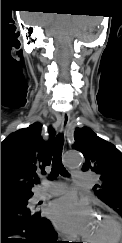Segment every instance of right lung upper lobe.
Masks as SVG:
<instances>
[{"label":"right lung upper lobe","instance_id":"right-lung-upper-lobe-1","mask_svg":"<svg viewBox=\"0 0 122 243\" xmlns=\"http://www.w3.org/2000/svg\"><path fill=\"white\" fill-rule=\"evenodd\" d=\"M38 122L10 134L1 142V202L33 195L36 171L50 165L55 133L49 141L41 137Z\"/></svg>","mask_w":122,"mask_h":243}]
</instances>
